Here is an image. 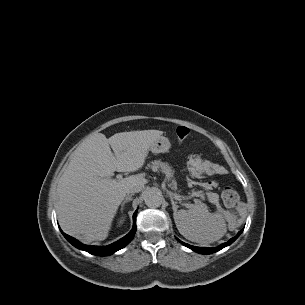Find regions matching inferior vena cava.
I'll use <instances>...</instances> for the list:
<instances>
[{
  "instance_id": "1",
  "label": "inferior vena cava",
  "mask_w": 305,
  "mask_h": 305,
  "mask_svg": "<svg viewBox=\"0 0 305 305\" xmlns=\"http://www.w3.org/2000/svg\"><path fill=\"white\" fill-rule=\"evenodd\" d=\"M143 187H144L143 185H133V186L129 187L126 192H127V194L138 193L143 189Z\"/></svg>"
}]
</instances>
